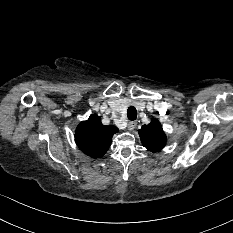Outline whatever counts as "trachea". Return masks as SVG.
<instances>
[{"mask_svg": "<svg viewBox=\"0 0 233 233\" xmlns=\"http://www.w3.org/2000/svg\"><path fill=\"white\" fill-rule=\"evenodd\" d=\"M127 117L129 120L133 121L137 118V110L135 107L130 106L127 110Z\"/></svg>", "mask_w": 233, "mask_h": 233, "instance_id": "3493384b", "label": "trachea"}]
</instances>
